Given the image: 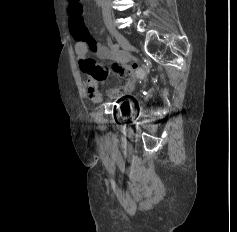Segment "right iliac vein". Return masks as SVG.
<instances>
[{
    "label": "right iliac vein",
    "instance_id": "63e3f726",
    "mask_svg": "<svg viewBox=\"0 0 237 232\" xmlns=\"http://www.w3.org/2000/svg\"><path fill=\"white\" fill-rule=\"evenodd\" d=\"M109 31L110 33L116 38V40L118 41V43L120 44V46L126 51L128 52L131 48L130 43L128 42V40L120 33L118 32L115 28L113 27H109Z\"/></svg>",
    "mask_w": 237,
    "mask_h": 232
}]
</instances>
